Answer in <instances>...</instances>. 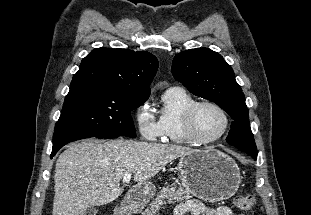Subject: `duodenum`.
Wrapping results in <instances>:
<instances>
[{
  "instance_id": "obj_1",
  "label": "duodenum",
  "mask_w": 311,
  "mask_h": 215,
  "mask_svg": "<svg viewBox=\"0 0 311 215\" xmlns=\"http://www.w3.org/2000/svg\"><path fill=\"white\" fill-rule=\"evenodd\" d=\"M129 210L125 209L124 207H119L117 210V215H128Z\"/></svg>"
}]
</instances>
